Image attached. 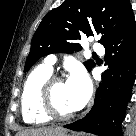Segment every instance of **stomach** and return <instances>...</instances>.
I'll use <instances>...</instances> for the list:
<instances>
[{
  "label": "stomach",
  "instance_id": "0dacf381",
  "mask_svg": "<svg viewBox=\"0 0 136 136\" xmlns=\"http://www.w3.org/2000/svg\"><path fill=\"white\" fill-rule=\"evenodd\" d=\"M54 136H74V135H67L66 132L55 134Z\"/></svg>",
  "mask_w": 136,
  "mask_h": 136
}]
</instances>
